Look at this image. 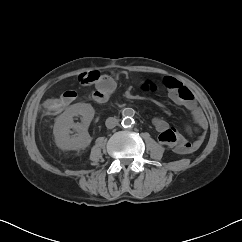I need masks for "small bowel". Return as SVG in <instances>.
<instances>
[{
	"label": "small bowel",
	"instance_id": "obj_1",
	"mask_svg": "<svg viewBox=\"0 0 242 242\" xmlns=\"http://www.w3.org/2000/svg\"><path fill=\"white\" fill-rule=\"evenodd\" d=\"M96 72L86 73V77ZM118 74V71H113L111 74L99 75V78L91 84L95 85L94 95L99 91H104L110 95L116 88V81L114 76ZM162 86L167 90L169 98L176 104L181 105L189 110L191 117L195 123L194 131L198 136L189 141L182 136L177 129L169 126V124L160 117L153 118V125L159 133L158 139L161 144L172 146L179 154H188L196 151L203 143L207 130V121L203 114V111L197 103L194 94L183 83L175 79L174 77L167 76L162 80ZM145 88H150L149 84L144 85ZM184 89L185 93H182ZM69 97V102L74 99V93L72 91L66 92ZM102 101V100H99ZM188 132H192L190 127L187 128Z\"/></svg>",
	"mask_w": 242,
	"mask_h": 242
}]
</instances>
